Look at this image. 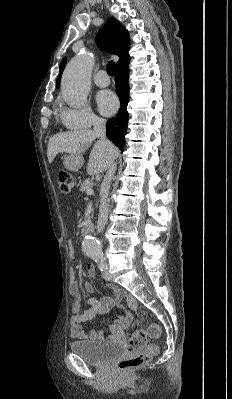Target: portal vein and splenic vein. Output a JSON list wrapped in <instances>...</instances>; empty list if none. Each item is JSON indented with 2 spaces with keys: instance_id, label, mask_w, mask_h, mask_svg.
<instances>
[{
  "instance_id": "obj_1",
  "label": "portal vein and splenic vein",
  "mask_w": 232,
  "mask_h": 399,
  "mask_svg": "<svg viewBox=\"0 0 232 399\" xmlns=\"http://www.w3.org/2000/svg\"><path fill=\"white\" fill-rule=\"evenodd\" d=\"M86 194L87 196H93L94 192L93 190H87Z\"/></svg>"
}]
</instances>
